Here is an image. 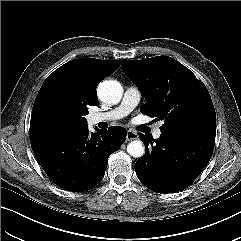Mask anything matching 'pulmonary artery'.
I'll list each match as a JSON object with an SVG mask.
<instances>
[{
    "label": "pulmonary artery",
    "instance_id": "e3ab8cb5",
    "mask_svg": "<svg viewBox=\"0 0 241 241\" xmlns=\"http://www.w3.org/2000/svg\"><path fill=\"white\" fill-rule=\"evenodd\" d=\"M141 94L138 88L136 87H128L123 95V99L121 103L105 112H95L89 116V121L91 124H98L101 122H110L121 119L127 116L140 102ZM161 135V129L156 127L153 130V137L159 138Z\"/></svg>",
    "mask_w": 241,
    "mask_h": 241
}]
</instances>
